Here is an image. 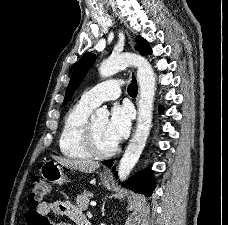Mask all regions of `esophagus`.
Instances as JSON below:
<instances>
[{"instance_id": "34e87169", "label": "esophagus", "mask_w": 228, "mask_h": 225, "mask_svg": "<svg viewBox=\"0 0 228 225\" xmlns=\"http://www.w3.org/2000/svg\"><path fill=\"white\" fill-rule=\"evenodd\" d=\"M129 44H130L131 46H133V40H132V38H130V37H129ZM136 104H138V98H137V100H136ZM103 174H104L106 177H111V176H112V172H111V170H109V169H104V170H103Z\"/></svg>"}]
</instances>
